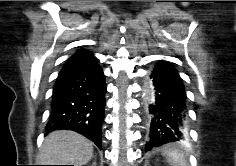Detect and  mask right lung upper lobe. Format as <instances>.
<instances>
[{
  "label": "right lung upper lobe",
  "instance_id": "cb5924a9",
  "mask_svg": "<svg viewBox=\"0 0 236 166\" xmlns=\"http://www.w3.org/2000/svg\"><path fill=\"white\" fill-rule=\"evenodd\" d=\"M95 59L97 58L93 56L91 51L80 49L66 61L65 65L84 64V63L91 62Z\"/></svg>",
  "mask_w": 236,
  "mask_h": 166
}]
</instances>
